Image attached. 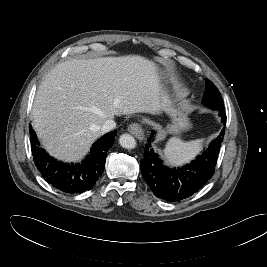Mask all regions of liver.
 Returning <instances> with one entry per match:
<instances>
[{
  "label": "liver",
  "instance_id": "6515ba94",
  "mask_svg": "<svg viewBox=\"0 0 267 267\" xmlns=\"http://www.w3.org/2000/svg\"><path fill=\"white\" fill-rule=\"evenodd\" d=\"M158 67L137 55L68 60L41 82L33 108V128L55 158L75 162L102 135L115 116L163 109Z\"/></svg>",
  "mask_w": 267,
  "mask_h": 267
}]
</instances>
